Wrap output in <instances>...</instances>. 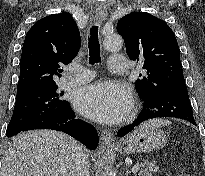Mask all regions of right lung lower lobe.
I'll list each match as a JSON object with an SVG mask.
<instances>
[{
  "instance_id": "1",
  "label": "right lung lower lobe",
  "mask_w": 205,
  "mask_h": 176,
  "mask_svg": "<svg viewBox=\"0 0 205 176\" xmlns=\"http://www.w3.org/2000/svg\"><path fill=\"white\" fill-rule=\"evenodd\" d=\"M33 129H53L65 132L91 150H95L98 146L99 138L96 129L81 119H75V113L69 104L39 118L22 131Z\"/></svg>"
}]
</instances>
